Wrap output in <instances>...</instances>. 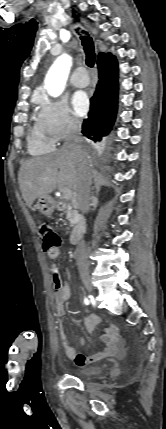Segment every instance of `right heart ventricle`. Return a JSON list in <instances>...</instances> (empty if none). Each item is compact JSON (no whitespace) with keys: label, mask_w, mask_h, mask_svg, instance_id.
<instances>
[{"label":"right heart ventricle","mask_w":166,"mask_h":429,"mask_svg":"<svg viewBox=\"0 0 166 429\" xmlns=\"http://www.w3.org/2000/svg\"><path fill=\"white\" fill-rule=\"evenodd\" d=\"M28 148L31 154L40 155L53 151L55 142L38 124H35L28 136Z\"/></svg>","instance_id":"right-heart-ventricle-1"}]
</instances>
